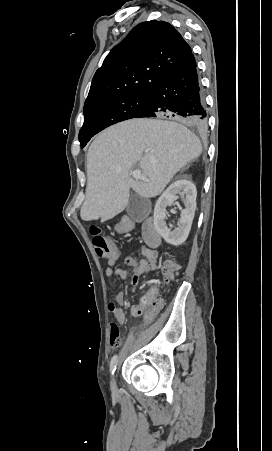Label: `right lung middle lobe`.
Instances as JSON below:
<instances>
[{"label":"right lung middle lobe","mask_w":272,"mask_h":451,"mask_svg":"<svg viewBox=\"0 0 272 451\" xmlns=\"http://www.w3.org/2000/svg\"><path fill=\"white\" fill-rule=\"evenodd\" d=\"M149 94L131 95L110 99L84 111V124L79 132L80 145L103 129L118 122L136 118L148 105Z\"/></svg>","instance_id":"obj_1"}]
</instances>
